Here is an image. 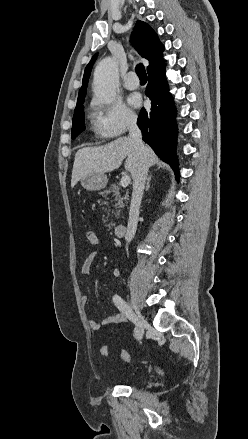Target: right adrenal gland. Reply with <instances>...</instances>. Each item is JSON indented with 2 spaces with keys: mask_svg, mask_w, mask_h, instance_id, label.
<instances>
[{
  "mask_svg": "<svg viewBox=\"0 0 248 439\" xmlns=\"http://www.w3.org/2000/svg\"><path fill=\"white\" fill-rule=\"evenodd\" d=\"M150 181H151V175L147 178L146 190H149L150 188Z\"/></svg>",
  "mask_w": 248,
  "mask_h": 439,
  "instance_id": "2a0ac1e0",
  "label": "right adrenal gland"
}]
</instances>
